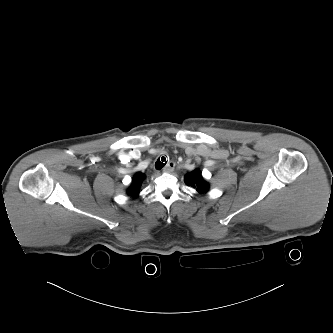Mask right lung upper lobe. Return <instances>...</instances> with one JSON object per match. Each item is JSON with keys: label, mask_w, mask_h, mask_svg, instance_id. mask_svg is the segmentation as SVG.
Instances as JSON below:
<instances>
[{"label": "right lung upper lobe", "mask_w": 333, "mask_h": 333, "mask_svg": "<svg viewBox=\"0 0 333 333\" xmlns=\"http://www.w3.org/2000/svg\"><path fill=\"white\" fill-rule=\"evenodd\" d=\"M145 179V175L143 173H136L132 178V183L130 184L129 188L127 189V194L130 197H138L140 191V187L142 185L143 180Z\"/></svg>", "instance_id": "right-lung-upper-lobe-1"}]
</instances>
